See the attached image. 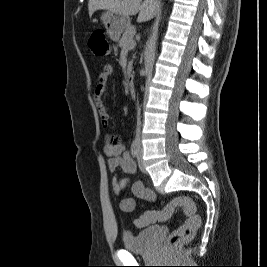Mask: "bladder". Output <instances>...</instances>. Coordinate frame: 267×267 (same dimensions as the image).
Masks as SVG:
<instances>
[{"label":"bladder","instance_id":"31cf9c89","mask_svg":"<svg viewBox=\"0 0 267 267\" xmlns=\"http://www.w3.org/2000/svg\"><path fill=\"white\" fill-rule=\"evenodd\" d=\"M161 227L158 225L149 226L137 233L125 232L123 234V247L125 250L141 253L149 250Z\"/></svg>","mask_w":267,"mask_h":267}]
</instances>
